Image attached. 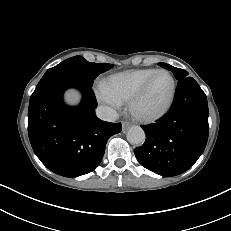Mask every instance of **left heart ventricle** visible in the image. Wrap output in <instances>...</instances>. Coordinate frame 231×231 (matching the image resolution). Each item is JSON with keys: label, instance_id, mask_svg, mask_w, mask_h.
<instances>
[{"label": "left heart ventricle", "instance_id": "obj_1", "mask_svg": "<svg viewBox=\"0 0 231 231\" xmlns=\"http://www.w3.org/2000/svg\"><path fill=\"white\" fill-rule=\"evenodd\" d=\"M170 90V78L166 74L157 75L147 94L138 104V111L141 113H152L160 109L168 99Z\"/></svg>", "mask_w": 231, "mask_h": 231}]
</instances>
